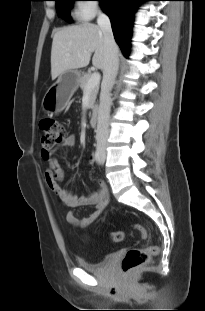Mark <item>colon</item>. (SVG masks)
Wrapping results in <instances>:
<instances>
[{
  "label": "colon",
  "mask_w": 205,
  "mask_h": 311,
  "mask_svg": "<svg viewBox=\"0 0 205 311\" xmlns=\"http://www.w3.org/2000/svg\"><path fill=\"white\" fill-rule=\"evenodd\" d=\"M66 132L63 124L56 119H44L40 123V143L41 155L48 159L51 155V150L64 142ZM135 230L142 238H147L148 233L142 225H135ZM114 242H121L124 239V234L120 231L110 235ZM158 254V247L150 246L147 248H132L129 249L121 261V270L123 273H128L131 270L146 264L153 256Z\"/></svg>",
  "instance_id": "colon-1"
}]
</instances>
